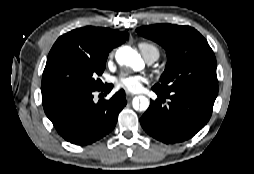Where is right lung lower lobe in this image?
Listing matches in <instances>:
<instances>
[{"label": "right lung lower lobe", "mask_w": 254, "mask_h": 174, "mask_svg": "<svg viewBox=\"0 0 254 174\" xmlns=\"http://www.w3.org/2000/svg\"><path fill=\"white\" fill-rule=\"evenodd\" d=\"M112 86L95 90H76L46 98L42 104L57 132L68 142L88 145L111 132L118 114L126 105L124 90L110 100L93 101L94 91L109 92Z\"/></svg>", "instance_id": "1"}]
</instances>
